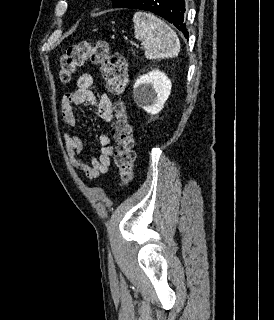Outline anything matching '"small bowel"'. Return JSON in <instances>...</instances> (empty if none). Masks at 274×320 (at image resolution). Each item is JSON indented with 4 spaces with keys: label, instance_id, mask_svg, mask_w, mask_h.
I'll return each instance as SVG.
<instances>
[{
    "label": "small bowel",
    "instance_id": "1",
    "mask_svg": "<svg viewBox=\"0 0 274 320\" xmlns=\"http://www.w3.org/2000/svg\"><path fill=\"white\" fill-rule=\"evenodd\" d=\"M93 76L89 72H83L77 80V89L65 94L61 99V112L64 122L70 127L77 126V119L74 114L73 105L87 104L96 109L98 116L106 123L113 120V104L107 94H102L98 99L92 91ZM64 146L68 158L74 168L82 172L89 179H96L106 173L111 164L114 154V147L110 137L101 132L98 135V142L101 152L98 157H93L91 163L83 160L84 145L80 137L65 132L63 135Z\"/></svg>",
    "mask_w": 274,
    "mask_h": 320
}]
</instances>
